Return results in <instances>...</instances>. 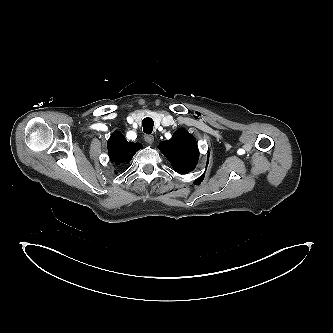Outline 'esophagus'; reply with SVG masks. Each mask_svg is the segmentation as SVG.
<instances>
[{
	"label": "esophagus",
	"mask_w": 333,
	"mask_h": 333,
	"mask_svg": "<svg viewBox=\"0 0 333 333\" xmlns=\"http://www.w3.org/2000/svg\"><path fill=\"white\" fill-rule=\"evenodd\" d=\"M144 140L146 141V143L152 144L154 142V136L153 135H145Z\"/></svg>",
	"instance_id": "obj_1"
}]
</instances>
